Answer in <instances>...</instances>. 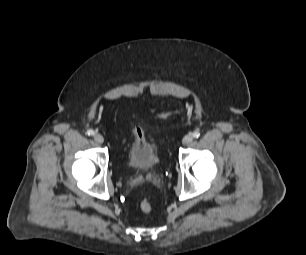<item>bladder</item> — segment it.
Instances as JSON below:
<instances>
[{
    "label": "bladder",
    "mask_w": 306,
    "mask_h": 255,
    "mask_svg": "<svg viewBox=\"0 0 306 255\" xmlns=\"http://www.w3.org/2000/svg\"><path fill=\"white\" fill-rule=\"evenodd\" d=\"M127 163L136 171L153 170L159 163L156 144L146 138L133 140L127 149Z\"/></svg>",
    "instance_id": "obj_1"
}]
</instances>
